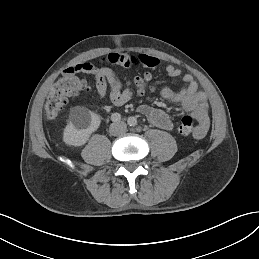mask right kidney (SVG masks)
<instances>
[{
  "mask_svg": "<svg viewBox=\"0 0 259 259\" xmlns=\"http://www.w3.org/2000/svg\"><path fill=\"white\" fill-rule=\"evenodd\" d=\"M103 120L96 112L84 107H75L71 110L69 123L63 131L62 141L67 146L83 147L90 139Z\"/></svg>",
  "mask_w": 259,
  "mask_h": 259,
  "instance_id": "1",
  "label": "right kidney"
}]
</instances>
